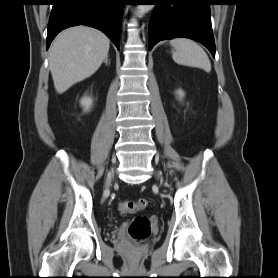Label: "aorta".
<instances>
[{
    "label": "aorta",
    "mask_w": 278,
    "mask_h": 278,
    "mask_svg": "<svg viewBox=\"0 0 278 278\" xmlns=\"http://www.w3.org/2000/svg\"><path fill=\"white\" fill-rule=\"evenodd\" d=\"M152 8V5H138L137 6V14L139 17L143 16L145 13L150 11Z\"/></svg>",
    "instance_id": "aorta-1"
}]
</instances>
